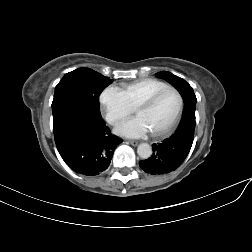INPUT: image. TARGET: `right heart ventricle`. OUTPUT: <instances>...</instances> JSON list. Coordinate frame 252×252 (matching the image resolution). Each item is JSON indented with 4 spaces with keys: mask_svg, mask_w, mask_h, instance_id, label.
I'll list each match as a JSON object with an SVG mask.
<instances>
[{
    "mask_svg": "<svg viewBox=\"0 0 252 252\" xmlns=\"http://www.w3.org/2000/svg\"><path fill=\"white\" fill-rule=\"evenodd\" d=\"M168 85L155 79H143L129 84H125L120 91L126 97L132 107H136L141 101L154 92L166 88Z\"/></svg>",
    "mask_w": 252,
    "mask_h": 252,
    "instance_id": "1",
    "label": "right heart ventricle"
}]
</instances>
